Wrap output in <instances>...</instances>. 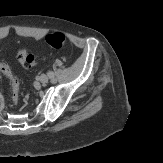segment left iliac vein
<instances>
[{"label":"left iliac vein","instance_id":"1","mask_svg":"<svg viewBox=\"0 0 163 163\" xmlns=\"http://www.w3.org/2000/svg\"><path fill=\"white\" fill-rule=\"evenodd\" d=\"M39 81L41 83L45 84L49 81V77L46 74H42L39 76Z\"/></svg>","mask_w":163,"mask_h":163}]
</instances>
